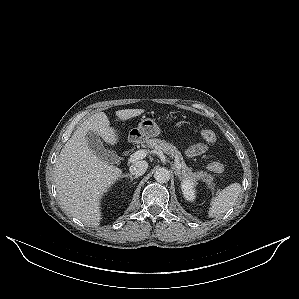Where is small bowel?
Instances as JSON below:
<instances>
[{"instance_id":"obj_1","label":"small bowel","mask_w":299,"mask_h":299,"mask_svg":"<svg viewBox=\"0 0 299 299\" xmlns=\"http://www.w3.org/2000/svg\"><path fill=\"white\" fill-rule=\"evenodd\" d=\"M208 151V145L205 143H196L194 145H191L186 150V155L188 157H195L202 155Z\"/></svg>"}]
</instances>
